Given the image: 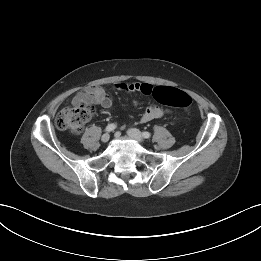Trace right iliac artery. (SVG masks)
Instances as JSON below:
<instances>
[{"mask_svg": "<svg viewBox=\"0 0 261 261\" xmlns=\"http://www.w3.org/2000/svg\"><path fill=\"white\" fill-rule=\"evenodd\" d=\"M115 128H116V124L111 123V124H108V125H107V127H106L105 130H106L107 132H111V131H113Z\"/></svg>", "mask_w": 261, "mask_h": 261, "instance_id": "right-iliac-artery-1", "label": "right iliac artery"}]
</instances>
